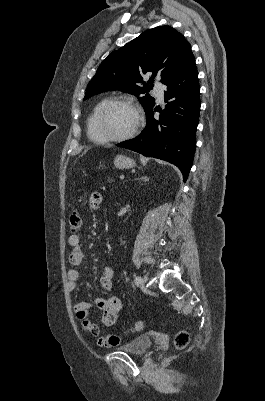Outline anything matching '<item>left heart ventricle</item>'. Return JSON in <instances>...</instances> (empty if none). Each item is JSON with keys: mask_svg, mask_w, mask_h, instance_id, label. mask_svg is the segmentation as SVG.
<instances>
[{"mask_svg": "<svg viewBox=\"0 0 265 401\" xmlns=\"http://www.w3.org/2000/svg\"><path fill=\"white\" fill-rule=\"evenodd\" d=\"M136 121L135 110L124 104L110 107L101 116L97 132L102 137H116L132 129Z\"/></svg>", "mask_w": 265, "mask_h": 401, "instance_id": "b2bd125f", "label": "left heart ventricle"}]
</instances>
